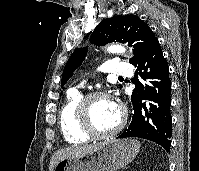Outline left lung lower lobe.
Instances as JSON below:
<instances>
[{"mask_svg":"<svg viewBox=\"0 0 199 171\" xmlns=\"http://www.w3.org/2000/svg\"><path fill=\"white\" fill-rule=\"evenodd\" d=\"M144 84L134 80L132 94L133 116L128 127L118 138L139 137L153 141L170 152L172 136L171 80L169 66L158 39L134 64Z\"/></svg>","mask_w":199,"mask_h":171,"instance_id":"1","label":"left lung lower lobe"}]
</instances>
